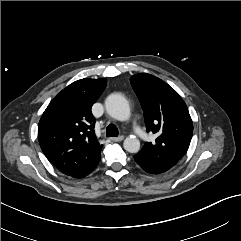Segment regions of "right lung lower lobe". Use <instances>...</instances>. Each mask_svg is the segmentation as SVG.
<instances>
[{
  "mask_svg": "<svg viewBox=\"0 0 241 241\" xmlns=\"http://www.w3.org/2000/svg\"><path fill=\"white\" fill-rule=\"evenodd\" d=\"M98 163L93 165V166H91V167H89V168H87V169H85V170L80 171L79 173L73 175L72 177H74V178H82V177L87 176L88 174H90L96 168Z\"/></svg>",
  "mask_w": 241,
  "mask_h": 241,
  "instance_id": "98d812e1",
  "label": "right lung lower lobe"
}]
</instances>
